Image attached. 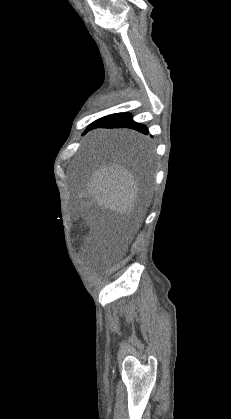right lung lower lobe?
Instances as JSON below:
<instances>
[{
  "label": "right lung lower lobe",
  "mask_w": 231,
  "mask_h": 419,
  "mask_svg": "<svg viewBox=\"0 0 231 419\" xmlns=\"http://www.w3.org/2000/svg\"><path fill=\"white\" fill-rule=\"evenodd\" d=\"M95 128H131L143 134H148V129L144 125L133 121L129 113H117L103 117L92 124L89 130Z\"/></svg>",
  "instance_id": "obj_1"
}]
</instances>
